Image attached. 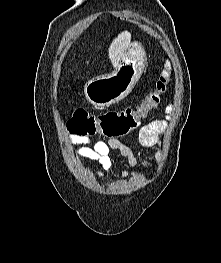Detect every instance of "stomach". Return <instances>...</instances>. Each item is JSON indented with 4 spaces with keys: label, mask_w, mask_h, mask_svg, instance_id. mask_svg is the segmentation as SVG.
Instances as JSON below:
<instances>
[{
    "label": "stomach",
    "mask_w": 221,
    "mask_h": 263,
    "mask_svg": "<svg viewBox=\"0 0 221 263\" xmlns=\"http://www.w3.org/2000/svg\"><path fill=\"white\" fill-rule=\"evenodd\" d=\"M146 60L141 45L130 44L111 74L95 77L85 84L87 100L94 106L107 107L124 99L142 75Z\"/></svg>",
    "instance_id": "obj_1"
}]
</instances>
